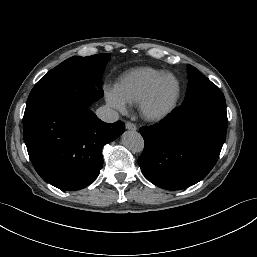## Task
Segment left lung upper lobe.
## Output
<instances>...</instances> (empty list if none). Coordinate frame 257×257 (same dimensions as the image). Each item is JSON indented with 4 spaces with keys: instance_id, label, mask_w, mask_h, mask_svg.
Returning <instances> with one entry per match:
<instances>
[{
    "instance_id": "5c2ea615",
    "label": "left lung upper lobe",
    "mask_w": 257,
    "mask_h": 257,
    "mask_svg": "<svg viewBox=\"0 0 257 257\" xmlns=\"http://www.w3.org/2000/svg\"><path fill=\"white\" fill-rule=\"evenodd\" d=\"M188 87L182 105H193L207 100H225L220 89L195 67L187 66Z\"/></svg>"
}]
</instances>
